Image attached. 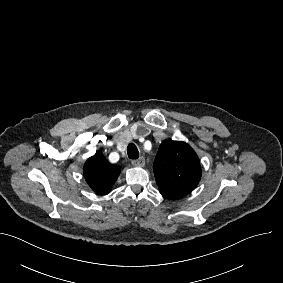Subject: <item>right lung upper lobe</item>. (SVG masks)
Masks as SVG:
<instances>
[{
	"instance_id": "obj_1",
	"label": "right lung upper lobe",
	"mask_w": 283,
	"mask_h": 283,
	"mask_svg": "<svg viewBox=\"0 0 283 283\" xmlns=\"http://www.w3.org/2000/svg\"><path fill=\"white\" fill-rule=\"evenodd\" d=\"M83 172L90 188L97 194L106 195L116 182L120 168L109 163L99 150L86 161Z\"/></svg>"
}]
</instances>
